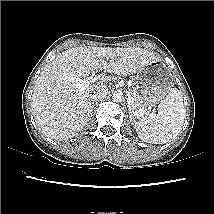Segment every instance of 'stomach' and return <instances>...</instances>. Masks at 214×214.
<instances>
[{"label":"stomach","mask_w":214,"mask_h":214,"mask_svg":"<svg viewBox=\"0 0 214 214\" xmlns=\"http://www.w3.org/2000/svg\"><path fill=\"white\" fill-rule=\"evenodd\" d=\"M174 84L170 68L162 60L149 62L135 77V103L144 109L166 98Z\"/></svg>","instance_id":"obj_1"}]
</instances>
